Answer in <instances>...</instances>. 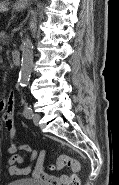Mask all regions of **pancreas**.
Here are the masks:
<instances>
[{
    "label": "pancreas",
    "instance_id": "1",
    "mask_svg": "<svg viewBox=\"0 0 119 185\" xmlns=\"http://www.w3.org/2000/svg\"><path fill=\"white\" fill-rule=\"evenodd\" d=\"M0 38H1V40H0V41H2V42H3V44H5V40H6L5 33H0Z\"/></svg>",
    "mask_w": 119,
    "mask_h": 185
}]
</instances>
